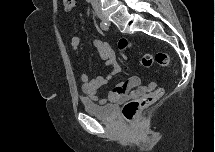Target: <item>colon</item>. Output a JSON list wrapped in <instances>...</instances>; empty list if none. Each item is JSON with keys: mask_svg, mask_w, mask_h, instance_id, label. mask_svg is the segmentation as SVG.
Wrapping results in <instances>:
<instances>
[{"mask_svg": "<svg viewBox=\"0 0 215 152\" xmlns=\"http://www.w3.org/2000/svg\"><path fill=\"white\" fill-rule=\"evenodd\" d=\"M76 0H63L64 9L67 12L74 10L76 7ZM130 43L127 40H121L118 44V48L122 51L126 49ZM141 65L145 68L152 67L155 63L162 67L171 66V58L169 53L165 51H158L154 55L145 54L141 60ZM164 93L162 88L157 89L153 93H150L142 98L134 99L126 102L122 107V115L126 120H132L135 115L143 108L147 107L157 99H159Z\"/></svg>", "mask_w": 215, "mask_h": 152, "instance_id": "5ec220e1", "label": "colon"}]
</instances>
